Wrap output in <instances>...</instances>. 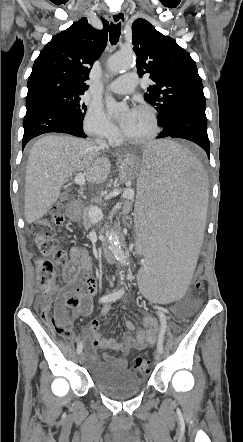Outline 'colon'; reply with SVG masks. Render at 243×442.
I'll use <instances>...</instances> for the list:
<instances>
[{
    "label": "colon",
    "mask_w": 243,
    "mask_h": 442,
    "mask_svg": "<svg viewBox=\"0 0 243 442\" xmlns=\"http://www.w3.org/2000/svg\"><path fill=\"white\" fill-rule=\"evenodd\" d=\"M120 218L123 222L124 229H131L132 222L134 221V214L122 213ZM64 222L65 212L63 207L61 205H55L52 208L50 219L37 221L33 225L32 231L38 250L43 255L49 256L52 259V261L39 260L37 262V283L42 293L41 318L51 325L58 334L69 336V325L65 313L53 309V294L56 287L53 263L62 265L67 260L66 253L60 247V242L55 236L54 226L62 225ZM203 268V263H196L193 273L194 277L190 280L191 285H193L198 292L202 289V283L199 278L202 276ZM150 361L149 356H136L132 368L141 374L148 373L151 368Z\"/></svg>",
    "instance_id": "5ec220e1"
}]
</instances>
